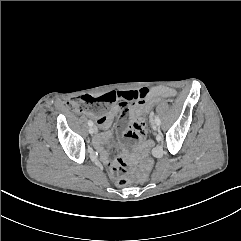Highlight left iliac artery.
Wrapping results in <instances>:
<instances>
[{
  "label": "left iliac artery",
  "mask_w": 241,
  "mask_h": 241,
  "mask_svg": "<svg viewBox=\"0 0 241 241\" xmlns=\"http://www.w3.org/2000/svg\"><path fill=\"white\" fill-rule=\"evenodd\" d=\"M155 122H156L157 125L161 124V121H160V119L158 117H155Z\"/></svg>",
  "instance_id": "44dca946"
}]
</instances>
